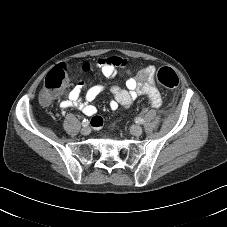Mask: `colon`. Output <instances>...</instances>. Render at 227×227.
<instances>
[{
    "instance_id": "obj_1",
    "label": "colon",
    "mask_w": 227,
    "mask_h": 227,
    "mask_svg": "<svg viewBox=\"0 0 227 227\" xmlns=\"http://www.w3.org/2000/svg\"><path fill=\"white\" fill-rule=\"evenodd\" d=\"M82 70H88L89 65L87 63H84L81 65ZM156 79L158 83L165 87V88H176L179 84V78L177 73L169 68V67H163L158 70L156 74ZM69 80L67 68L65 66L59 65L54 67L46 76L43 85L42 90L40 93V100L44 104L50 103L55 96L57 95L58 91L66 85V83ZM92 124L94 126L101 125V121L98 117H95L92 120Z\"/></svg>"
}]
</instances>
